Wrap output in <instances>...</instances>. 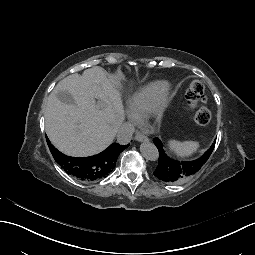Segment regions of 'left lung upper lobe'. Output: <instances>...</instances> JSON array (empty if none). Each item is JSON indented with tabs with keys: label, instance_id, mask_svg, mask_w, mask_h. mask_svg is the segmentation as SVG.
<instances>
[{
	"label": "left lung upper lobe",
	"instance_id": "5c2ea615",
	"mask_svg": "<svg viewBox=\"0 0 255 255\" xmlns=\"http://www.w3.org/2000/svg\"><path fill=\"white\" fill-rule=\"evenodd\" d=\"M155 145H156V144H155ZM198 171H199V170H198ZM198 171H197V172H198ZM197 172H196V173H197ZM196 173H195V174H196ZM193 175H194V174H193ZM193 175H192V176H193ZM188 178H189V177H188ZM158 179H159V178H158ZM159 180H161V179H159ZM161 181H162V180H161ZM164 182H165V181H164Z\"/></svg>",
	"mask_w": 255,
	"mask_h": 255
}]
</instances>
